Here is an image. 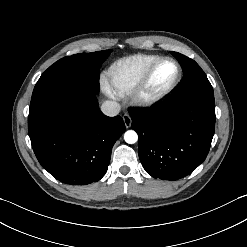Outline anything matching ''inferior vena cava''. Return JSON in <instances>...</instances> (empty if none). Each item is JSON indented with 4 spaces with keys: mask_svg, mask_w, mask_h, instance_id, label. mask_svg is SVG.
I'll return each mask as SVG.
<instances>
[{
    "mask_svg": "<svg viewBox=\"0 0 247 247\" xmlns=\"http://www.w3.org/2000/svg\"><path fill=\"white\" fill-rule=\"evenodd\" d=\"M121 106L116 101H104L101 105V111L106 116H116L119 114Z\"/></svg>",
    "mask_w": 247,
    "mask_h": 247,
    "instance_id": "1",
    "label": "inferior vena cava"
}]
</instances>
